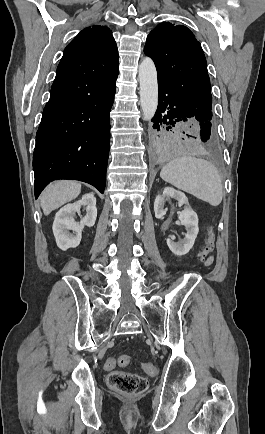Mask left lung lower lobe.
Wrapping results in <instances>:
<instances>
[{"label":"left lung lower lobe","mask_w":265,"mask_h":434,"mask_svg":"<svg viewBox=\"0 0 265 434\" xmlns=\"http://www.w3.org/2000/svg\"><path fill=\"white\" fill-rule=\"evenodd\" d=\"M158 88L159 101L156 114L152 119L153 128L159 131L163 124L174 125L179 121H190L194 131L195 147L203 153H217L220 150V140L215 124L206 120L204 113H195L182 97L160 80H158ZM164 112L166 114L163 116ZM170 128L171 126H168L166 130ZM153 145L154 150L162 155L174 154L179 147L164 137L157 139Z\"/></svg>","instance_id":"obj_1"}]
</instances>
